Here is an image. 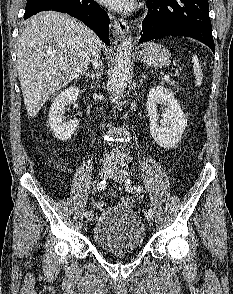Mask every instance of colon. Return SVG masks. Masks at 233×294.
<instances>
[{
  "instance_id": "colon-1",
  "label": "colon",
  "mask_w": 233,
  "mask_h": 294,
  "mask_svg": "<svg viewBox=\"0 0 233 294\" xmlns=\"http://www.w3.org/2000/svg\"><path fill=\"white\" fill-rule=\"evenodd\" d=\"M120 205L122 207H129L130 208L133 205V200L128 197L122 198L120 201Z\"/></svg>"
}]
</instances>
